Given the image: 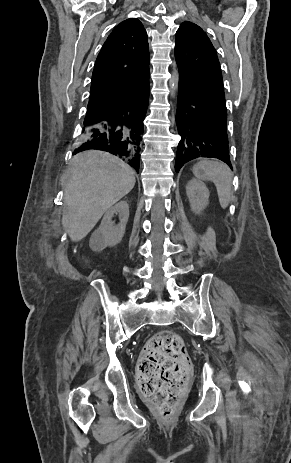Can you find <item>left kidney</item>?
<instances>
[{"label": "left kidney", "mask_w": 291, "mask_h": 463, "mask_svg": "<svg viewBox=\"0 0 291 463\" xmlns=\"http://www.w3.org/2000/svg\"><path fill=\"white\" fill-rule=\"evenodd\" d=\"M186 193L194 213L200 214L209 202L207 186L198 180H190L186 186Z\"/></svg>", "instance_id": "1"}]
</instances>
